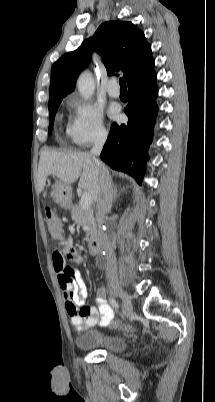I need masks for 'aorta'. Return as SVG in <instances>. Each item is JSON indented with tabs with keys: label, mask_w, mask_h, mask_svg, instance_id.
<instances>
[{
	"label": "aorta",
	"mask_w": 215,
	"mask_h": 402,
	"mask_svg": "<svg viewBox=\"0 0 215 402\" xmlns=\"http://www.w3.org/2000/svg\"><path fill=\"white\" fill-rule=\"evenodd\" d=\"M77 87L80 95L88 100L92 97L95 91L94 79L90 72L84 71L78 78Z\"/></svg>",
	"instance_id": "obj_1"
}]
</instances>
